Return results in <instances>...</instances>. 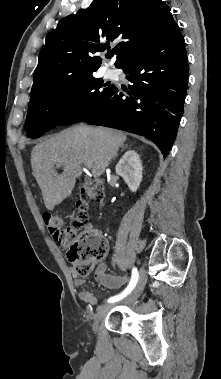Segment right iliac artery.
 Here are the masks:
<instances>
[{
  "label": "right iliac artery",
  "mask_w": 221,
  "mask_h": 379,
  "mask_svg": "<svg viewBox=\"0 0 221 379\" xmlns=\"http://www.w3.org/2000/svg\"><path fill=\"white\" fill-rule=\"evenodd\" d=\"M138 278H139L138 271L136 268H133L132 277H131V280H130L128 286L120 294L113 296V297H110L108 299V302L113 303V302L119 301V300L123 299L124 297H126L136 286V284L138 282Z\"/></svg>",
  "instance_id": "82829eb1"
}]
</instances>
